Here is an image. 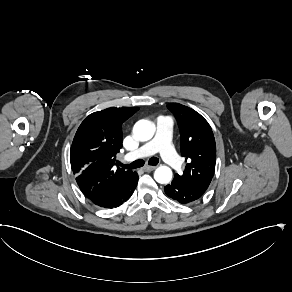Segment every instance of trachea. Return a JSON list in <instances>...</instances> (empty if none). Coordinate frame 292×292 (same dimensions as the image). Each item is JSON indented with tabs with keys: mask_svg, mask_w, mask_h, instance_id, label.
<instances>
[{
	"mask_svg": "<svg viewBox=\"0 0 292 292\" xmlns=\"http://www.w3.org/2000/svg\"><path fill=\"white\" fill-rule=\"evenodd\" d=\"M159 162V159L156 157H151L148 161L149 165L152 166H156ZM145 161L142 159H138L130 164L124 165L122 163H119V165L123 168V169H136V168H140L142 166H144Z\"/></svg>",
	"mask_w": 292,
	"mask_h": 292,
	"instance_id": "obj_1",
	"label": "trachea"
}]
</instances>
